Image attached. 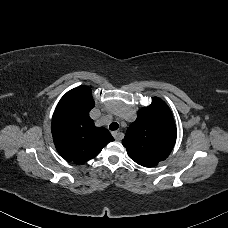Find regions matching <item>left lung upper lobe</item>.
Masks as SVG:
<instances>
[{"mask_svg":"<svg viewBox=\"0 0 228 228\" xmlns=\"http://www.w3.org/2000/svg\"><path fill=\"white\" fill-rule=\"evenodd\" d=\"M176 136L170 108L163 100L154 98L151 105L139 110L122 143L132 160L139 165L153 167L168 157Z\"/></svg>","mask_w":228,"mask_h":228,"instance_id":"5c2ea615","label":"left lung upper lobe"}]
</instances>
